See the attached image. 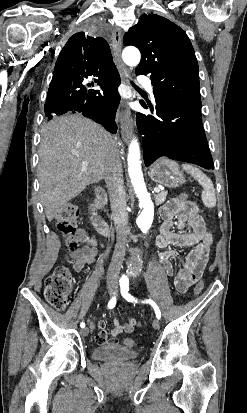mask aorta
<instances>
[{
    "label": "aorta",
    "mask_w": 247,
    "mask_h": 413,
    "mask_svg": "<svg viewBox=\"0 0 247 413\" xmlns=\"http://www.w3.org/2000/svg\"><path fill=\"white\" fill-rule=\"evenodd\" d=\"M123 61L129 66L139 64L141 55L137 48L126 47L122 52ZM128 173L142 212L137 218V225L147 231L153 222L154 205L147 191L140 162V148L137 139H133L128 149Z\"/></svg>",
    "instance_id": "1"
}]
</instances>
